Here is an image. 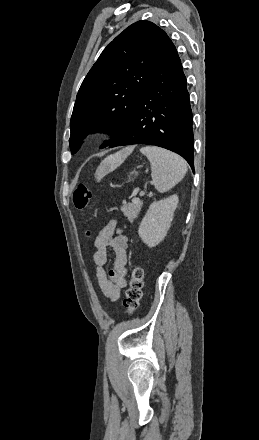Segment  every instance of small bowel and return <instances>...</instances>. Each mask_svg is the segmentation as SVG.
I'll list each match as a JSON object with an SVG mask.
<instances>
[{
    "mask_svg": "<svg viewBox=\"0 0 259 440\" xmlns=\"http://www.w3.org/2000/svg\"><path fill=\"white\" fill-rule=\"evenodd\" d=\"M94 247L93 262L99 287L108 299L117 301L121 290L127 285V238L117 227L116 222L111 220L97 234ZM109 248L114 253V261L112 268L106 270Z\"/></svg>",
    "mask_w": 259,
    "mask_h": 440,
    "instance_id": "1",
    "label": "small bowel"
}]
</instances>
